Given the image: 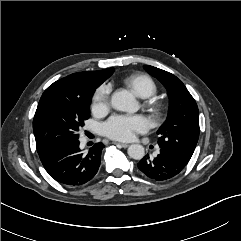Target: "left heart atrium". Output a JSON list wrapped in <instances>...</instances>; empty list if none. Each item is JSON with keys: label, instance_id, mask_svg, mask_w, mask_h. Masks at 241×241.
Masks as SVG:
<instances>
[{"label": "left heart atrium", "instance_id": "left-heart-atrium-1", "mask_svg": "<svg viewBox=\"0 0 241 241\" xmlns=\"http://www.w3.org/2000/svg\"><path fill=\"white\" fill-rule=\"evenodd\" d=\"M148 128L149 122L141 115H115L103 125L105 135L117 141H131Z\"/></svg>", "mask_w": 241, "mask_h": 241}]
</instances>
